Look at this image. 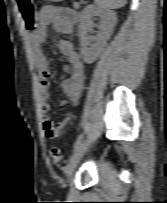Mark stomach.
Segmentation results:
<instances>
[{
    "label": "stomach",
    "mask_w": 167,
    "mask_h": 203,
    "mask_svg": "<svg viewBox=\"0 0 167 203\" xmlns=\"http://www.w3.org/2000/svg\"><path fill=\"white\" fill-rule=\"evenodd\" d=\"M47 1H49V2H61L63 0H47Z\"/></svg>",
    "instance_id": "stomach-1"
}]
</instances>
